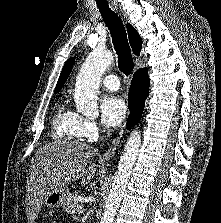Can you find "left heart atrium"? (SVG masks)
<instances>
[{"label":"left heart atrium","instance_id":"39dd6f15","mask_svg":"<svg viewBox=\"0 0 221 223\" xmlns=\"http://www.w3.org/2000/svg\"><path fill=\"white\" fill-rule=\"evenodd\" d=\"M100 108L103 123L110 127L120 125L127 113L124 101L116 96L106 97Z\"/></svg>","mask_w":221,"mask_h":223}]
</instances>
